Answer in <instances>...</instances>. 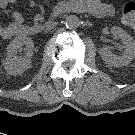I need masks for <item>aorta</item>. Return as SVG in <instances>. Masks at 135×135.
Returning a JSON list of instances; mask_svg holds the SVG:
<instances>
[{
	"label": "aorta",
	"mask_w": 135,
	"mask_h": 135,
	"mask_svg": "<svg viewBox=\"0 0 135 135\" xmlns=\"http://www.w3.org/2000/svg\"><path fill=\"white\" fill-rule=\"evenodd\" d=\"M65 25L67 28H70V29L78 28L80 25V20L75 15H69L65 19Z\"/></svg>",
	"instance_id": "1"
}]
</instances>
